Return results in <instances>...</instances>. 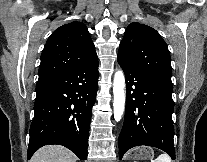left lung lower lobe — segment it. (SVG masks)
<instances>
[{"label":"left lung lower lobe","mask_w":207,"mask_h":162,"mask_svg":"<svg viewBox=\"0 0 207 162\" xmlns=\"http://www.w3.org/2000/svg\"><path fill=\"white\" fill-rule=\"evenodd\" d=\"M126 78V111L119 136V157L130 148H159L175 160L171 78L119 62Z\"/></svg>","instance_id":"1"}]
</instances>
